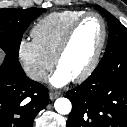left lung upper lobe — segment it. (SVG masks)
<instances>
[{"label":"left lung upper lobe","mask_w":127,"mask_h":127,"mask_svg":"<svg viewBox=\"0 0 127 127\" xmlns=\"http://www.w3.org/2000/svg\"><path fill=\"white\" fill-rule=\"evenodd\" d=\"M109 25V38L106 51L101 60H106L114 52L127 48V28L123 26L112 14L106 13Z\"/></svg>","instance_id":"1"}]
</instances>
